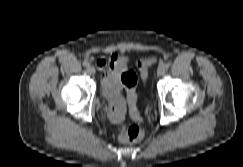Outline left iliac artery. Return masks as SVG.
Wrapping results in <instances>:
<instances>
[{"instance_id": "1", "label": "left iliac artery", "mask_w": 243, "mask_h": 167, "mask_svg": "<svg viewBox=\"0 0 243 167\" xmlns=\"http://www.w3.org/2000/svg\"><path fill=\"white\" fill-rule=\"evenodd\" d=\"M164 67H165V69H168V68L170 67V64H169V63H166V64L164 65Z\"/></svg>"}]
</instances>
